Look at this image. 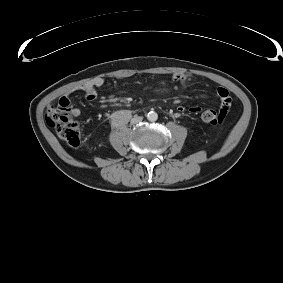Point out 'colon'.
<instances>
[{
  "label": "colon",
  "mask_w": 283,
  "mask_h": 283,
  "mask_svg": "<svg viewBox=\"0 0 283 283\" xmlns=\"http://www.w3.org/2000/svg\"><path fill=\"white\" fill-rule=\"evenodd\" d=\"M226 113V109H207L203 112L202 118L207 123L217 125L224 121ZM47 122L69 146L80 145L81 129L71 116V104L67 97H62L56 106L49 108Z\"/></svg>",
  "instance_id": "obj_1"
}]
</instances>
